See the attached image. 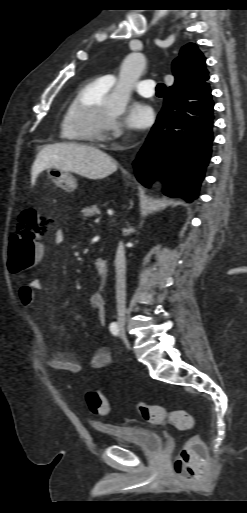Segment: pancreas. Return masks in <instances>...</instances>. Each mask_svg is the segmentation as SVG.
Returning <instances> with one entry per match:
<instances>
[{
  "instance_id": "1",
  "label": "pancreas",
  "mask_w": 247,
  "mask_h": 513,
  "mask_svg": "<svg viewBox=\"0 0 247 513\" xmlns=\"http://www.w3.org/2000/svg\"><path fill=\"white\" fill-rule=\"evenodd\" d=\"M83 219H86L87 217H92L96 214L100 213V210L97 208L96 205L87 206L81 210Z\"/></svg>"
}]
</instances>
